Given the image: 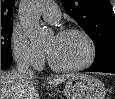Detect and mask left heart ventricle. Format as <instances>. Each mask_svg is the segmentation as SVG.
<instances>
[{
  "instance_id": "left-heart-ventricle-1",
  "label": "left heart ventricle",
  "mask_w": 115,
  "mask_h": 99,
  "mask_svg": "<svg viewBox=\"0 0 115 99\" xmlns=\"http://www.w3.org/2000/svg\"><path fill=\"white\" fill-rule=\"evenodd\" d=\"M48 57L57 65H76L84 61L88 55L85 40L76 34L53 36L45 47Z\"/></svg>"
}]
</instances>
